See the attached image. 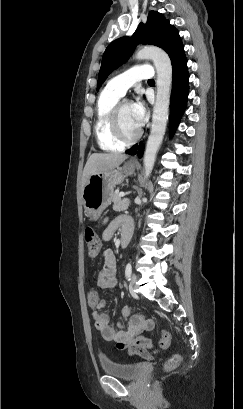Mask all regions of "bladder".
<instances>
[{
  "mask_svg": "<svg viewBox=\"0 0 243 409\" xmlns=\"http://www.w3.org/2000/svg\"><path fill=\"white\" fill-rule=\"evenodd\" d=\"M101 367L105 374L126 380L136 379L141 372L139 364L121 363L112 360H101Z\"/></svg>",
  "mask_w": 243,
  "mask_h": 409,
  "instance_id": "obj_1",
  "label": "bladder"
}]
</instances>
